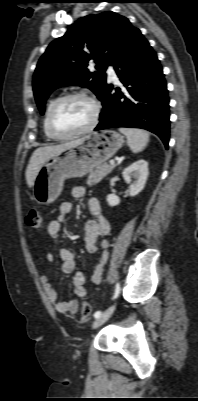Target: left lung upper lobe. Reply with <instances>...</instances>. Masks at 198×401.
<instances>
[{
    "label": "left lung upper lobe",
    "instance_id": "5c2ea615",
    "mask_svg": "<svg viewBox=\"0 0 198 401\" xmlns=\"http://www.w3.org/2000/svg\"><path fill=\"white\" fill-rule=\"evenodd\" d=\"M135 30L127 18L107 11L77 20L64 36L54 40L33 76L34 96L41 114L49 94L61 86L86 87L100 99L107 84V66L114 64ZM89 61L96 63L97 71L89 72Z\"/></svg>",
    "mask_w": 198,
    "mask_h": 401
}]
</instances>
